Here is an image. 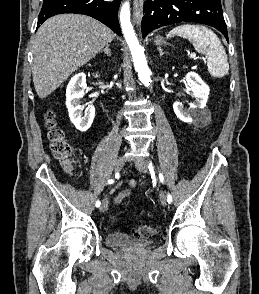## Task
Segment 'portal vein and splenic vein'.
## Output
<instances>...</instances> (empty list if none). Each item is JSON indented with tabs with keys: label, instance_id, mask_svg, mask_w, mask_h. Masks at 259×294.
Returning <instances> with one entry per match:
<instances>
[{
	"label": "portal vein and splenic vein",
	"instance_id": "1",
	"mask_svg": "<svg viewBox=\"0 0 259 294\" xmlns=\"http://www.w3.org/2000/svg\"><path fill=\"white\" fill-rule=\"evenodd\" d=\"M190 57L193 58V59H197V58H198V57L196 56V54H191Z\"/></svg>",
	"mask_w": 259,
	"mask_h": 294
}]
</instances>
